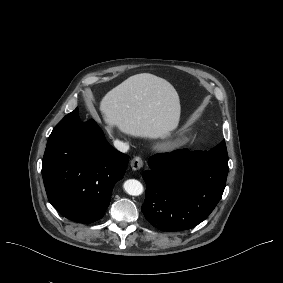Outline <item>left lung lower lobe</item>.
Listing matches in <instances>:
<instances>
[{
  "label": "left lung lower lobe",
  "mask_w": 283,
  "mask_h": 283,
  "mask_svg": "<svg viewBox=\"0 0 283 283\" xmlns=\"http://www.w3.org/2000/svg\"><path fill=\"white\" fill-rule=\"evenodd\" d=\"M148 164L141 210L163 231L187 230L205 220L222 197L229 170L225 141L209 151L155 154Z\"/></svg>",
  "instance_id": "0a47b994"
}]
</instances>
